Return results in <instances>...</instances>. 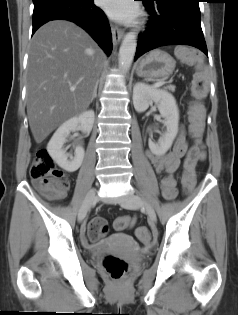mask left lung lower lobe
<instances>
[{
    "instance_id": "obj_1",
    "label": "left lung lower lobe",
    "mask_w": 238,
    "mask_h": 315,
    "mask_svg": "<svg viewBox=\"0 0 238 315\" xmlns=\"http://www.w3.org/2000/svg\"><path fill=\"white\" fill-rule=\"evenodd\" d=\"M151 17L147 30L139 34L135 60L165 45L183 44L207 54L200 24V0H142Z\"/></svg>"
}]
</instances>
